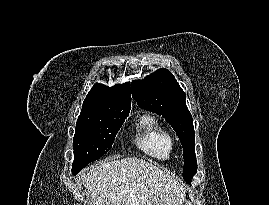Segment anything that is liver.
<instances>
[{
  "mask_svg": "<svg viewBox=\"0 0 269 205\" xmlns=\"http://www.w3.org/2000/svg\"><path fill=\"white\" fill-rule=\"evenodd\" d=\"M82 182L93 205H181L186 196L172 176L138 158L102 162Z\"/></svg>",
  "mask_w": 269,
  "mask_h": 205,
  "instance_id": "6515ba94",
  "label": "liver"
}]
</instances>
